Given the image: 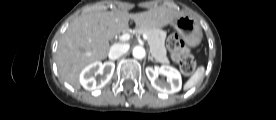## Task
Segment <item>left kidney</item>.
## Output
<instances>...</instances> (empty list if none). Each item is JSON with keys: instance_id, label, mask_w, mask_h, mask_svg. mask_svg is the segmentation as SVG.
Masks as SVG:
<instances>
[{"instance_id": "1", "label": "left kidney", "mask_w": 276, "mask_h": 120, "mask_svg": "<svg viewBox=\"0 0 276 120\" xmlns=\"http://www.w3.org/2000/svg\"><path fill=\"white\" fill-rule=\"evenodd\" d=\"M162 74L167 77V82L158 79V75ZM146 75L151 85L158 91L165 94H173L181 89V75L179 71L171 66L162 65L147 67Z\"/></svg>"}]
</instances>
